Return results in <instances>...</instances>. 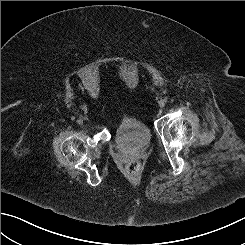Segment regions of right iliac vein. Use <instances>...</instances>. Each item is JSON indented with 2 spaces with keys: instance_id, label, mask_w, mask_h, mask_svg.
Instances as JSON below:
<instances>
[{
  "instance_id": "63e3f726",
  "label": "right iliac vein",
  "mask_w": 245,
  "mask_h": 245,
  "mask_svg": "<svg viewBox=\"0 0 245 245\" xmlns=\"http://www.w3.org/2000/svg\"><path fill=\"white\" fill-rule=\"evenodd\" d=\"M76 122H77V124H78V125H82V124H83V120H82V119H80V118H79V119H77V121H76Z\"/></svg>"
}]
</instances>
